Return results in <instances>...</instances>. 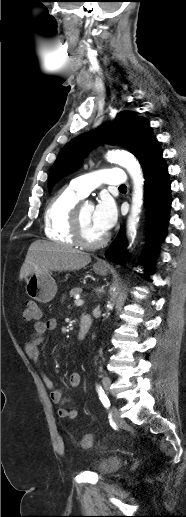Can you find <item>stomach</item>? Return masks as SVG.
Returning a JSON list of instances; mask_svg holds the SVG:
<instances>
[{"instance_id": "obj_1", "label": "stomach", "mask_w": 186, "mask_h": 517, "mask_svg": "<svg viewBox=\"0 0 186 517\" xmlns=\"http://www.w3.org/2000/svg\"><path fill=\"white\" fill-rule=\"evenodd\" d=\"M94 271L98 275H106L108 267L106 265H94ZM26 293L29 297L41 302H50L57 293V285L50 272L43 274H32L26 280Z\"/></svg>"}]
</instances>
